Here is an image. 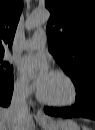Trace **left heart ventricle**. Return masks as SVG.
<instances>
[{"mask_svg": "<svg viewBox=\"0 0 95 130\" xmlns=\"http://www.w3.org/2000/svg\"><path fill=\"white\" fill-rule=\"evenodd\" d=\"M42 95L56 102H66L72 97V88L68 81L57 74L51 73L46 82L41 86Z\"/></svg>", "mask_w": 95, "mask_h": 130, "instance_id": "obj_1", "label": "left heart ventricle"}]
</instances>
